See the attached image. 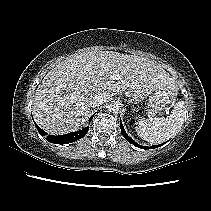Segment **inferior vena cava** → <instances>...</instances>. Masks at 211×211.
Segmentation results:
<instances>
[{"label": "inferior vena cava", "mask_w": 211, "mask_h": 211, "mask_svg": "<svg viewBox=\"0 0 211 211\" xmlns=\"http://www.w3.org/2000/svg\"><path fill=\"white\" fill-rule=\"evenodd\" d=\"M104 102L103 97L99 95L93 96V98L90 100L89 105L91 107H96L101 105Z\"/></svg>", "instance_id": "1"}]
</instances>
